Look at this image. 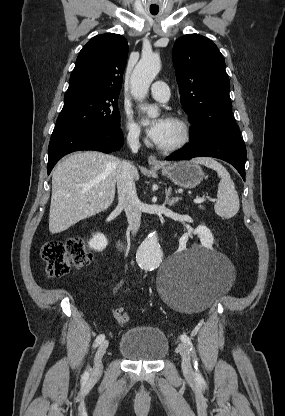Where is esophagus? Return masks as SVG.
<instances>
[{
    "mask_svg": "<svg viewBox=\"0 0 285 416\" xmlns=\"http://www.w3.org/2000/svg\"><path fill=\"white\" fill-rule=\"evenodd\" d=\"M148 163H149L150 165L162 166V163H161V162H159V161L157 160V158H156L154 155H150V156L148 157Z\"/></svg>",
    "mask_w": 285,
    "mask_h": 416,
    "instance_id": "34e87169",
    "label": "esophagus"
}]
</instances>
